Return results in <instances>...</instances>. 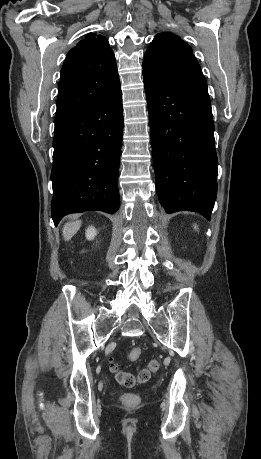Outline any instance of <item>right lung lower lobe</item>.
Wrapping results in <instances>:
<instances>
[{
  "instance_id": "98d812e1",
  "label": "right lung lower lobe",
  "mask_w": 261,
  "mask_h": 459,
  "mask_svg": "<svg viewBox=\"0 0 261 459\" xmlns=\"http://www.w3.org/2000/svg\"><path fill=\"white\" fill-rule=\"evenodd\" d=\"M52 218L119 209L118 173L123 135L120 86L86 110L55 123Z\"/></svg>"
}]
</instances>
